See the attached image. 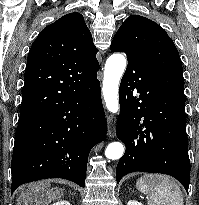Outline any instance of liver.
Wrapping results in <instances>:
<instances>
[{"instance_id": "1", "label": "liver", "mask_w": 199, "mask_h": 205, "mask_svg": "<svg viewBox=\"0 0 199 205\" xmlns=\"http://www.w3.org/2000/svg\"><path fill=\"white\" fill-rule=\"evenodd\" d=\"M49 183L34 184L31 191L22 193L20 201L25 205H45L62 196L61 190H48Z\"/></svg>"}]
</instances>
